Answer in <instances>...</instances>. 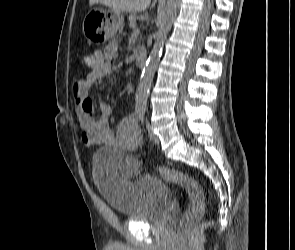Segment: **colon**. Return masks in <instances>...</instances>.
<instances>
[{
    "label": "colon",
    "instance_id": "5ec220e1",
    "mask_svg": "<svg viewBox=\"0 0 295 250\" xmlns=\"http://www.w3.org/2000/svg\"><path fill=\"white\" fill-rule=\"evenodd\" d=\"M93 61L92 54L86 53L81 57V64L89 67ZM157 172L169 181L180 184L183 186L190 197V205L182 217V224L186 225L198 219L204 212L205 198L204 193L199 183L189 176L180 171L167 169L164 167H156Z\"/></svg>",
    "mask_w": 295,
    "mask_h": 250
}]
</instances>
